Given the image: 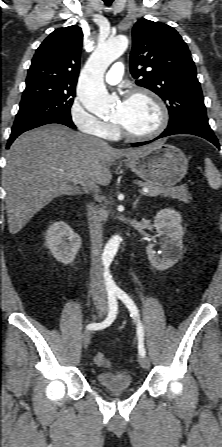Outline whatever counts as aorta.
<instances>
[{"label": "aorta", "mask_w": 222, "mask_h": 447, "mask_svg": "<svg viewBox=\"0 0 222 447\" xmlns=\"http://www.w3.org/2000/svg\"><path fill=\"white\" fill-rule=\"evenodd\" d=\"M128 38L118 35L100 43L87 61L81 75L78 97L89 112L102 117L107 115L115 104L103 83V75L108 66L119 58L128 47ZM120 237L113 236L105 246L103 258L111 262L118 251Z\"/></svg>", "instance_id": "762f6f07"}]
</instances>
